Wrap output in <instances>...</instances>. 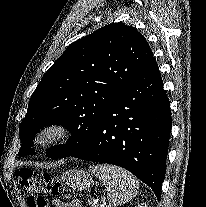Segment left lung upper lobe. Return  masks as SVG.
<instances>
[{
	"instance_id": "1",
	"label": "left lung upper lobe",
	"mask_w": 206,
	"mask_h": 207,
	"mask_svg": "<svg viewBox=\"0 0 206 207\" xmlns=\"http://www.w3.org/2000/svg\"><path fill=\"white\" fill-rule=\"evenodd\" d=\"M153 57L145 39L123 23L102 27L68 46L31 96L20 124L19 156L34 154V133L60 124L72 133L66 145L47 151L68 157L92 141L113 99Z\"/></svg>"
}]
</instances>
